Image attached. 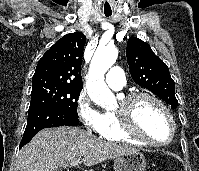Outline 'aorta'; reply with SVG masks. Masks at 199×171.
Listing matches in <instances>:
<instances>
[{
	"mask_svg": "<svg viewBox=\"0 0 199 171\" xmlns=\"http://www.w3.org/2000/svg\"><path fill=\"white\" fill-rule=\"evenodd\" d=\"M117 56L118 50L115 47H99L90 64L86 82L87 92L90 98L102 108H112L115 104V97L107 87L104 76L115 63Z\"/></svg>",
	"mask_w": 199,
	"mask_h": 171,
	"instance_id": "aorta-1",
	"label": "aorta"
}]
</instances>
